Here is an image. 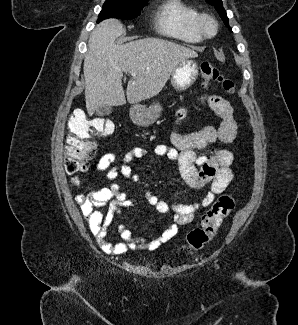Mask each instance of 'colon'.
Instances as JSON below:
<instances>
[{"label":"colon","instance_id":"5ec220e1","mask_svg":"<svg viewBox=\"0 0 298 325\" xmlns=\"http://www.w3.org/2000/svg\"><path fill=\"white\" fill-rule=\"evenodd\" d=\"M200 73L205 85L218 82L226 92L233 93L235 83L225 78L210 62L200 64ZM64 168L69 176L84 171L95 151V136H107L114 130L113 123L102 117H90L83 111L73 112L67 122ZM235 208L232 195L220 196L201 218V225L187 235V251H198L217 234L223 221Z\"/></svg>","mask_w":298,"mask_h":325}]
</instances>
